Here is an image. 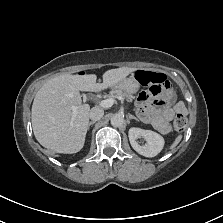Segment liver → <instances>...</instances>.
Listing matches in <instances>:
<instances>
[{
    "instance_id": "obj_1",
    "label": "liver",
    "mask_w": 223,
    "mask_h": 223,
    "mask_svg": "<svg viewBox=\"0 0 223 223\" xmlns=\"http://www.w3.org/2000/svg\"><path fill=\"white\" fill-rule=\"evenodd\" d=\"M136 68L122 67L107 71L103 83L95 75L73 77L63 74L45 83L37 92L32 106V125L37 140L57 153H76L84 145L90 107L83 104L79 90L100 91L113 86ZM72 107L77 112L70 123Z\"/></svg>"
}]
</instances>
